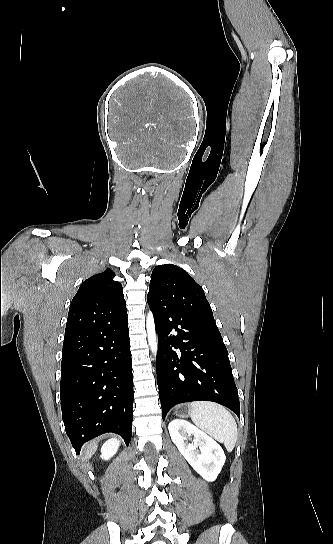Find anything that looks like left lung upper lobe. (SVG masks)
Masks as SVG:
<instances>
[{
  "label": "left lung upper lobe",
  "instance_id": "1",
  "mask_svg": "<svg viewBox=\"0 0 333 544\" xmlns=\"http://www.w3.org/2000/svg\"><path fill=\"white\" fill-rule=\"evenodd\" d=\"M147 301L151 306L216 324L202 287L176 265H160L152 271Z\"/></svg>",
  "mask_w": 333,
  "mask_h": 544
}]
</instances>
